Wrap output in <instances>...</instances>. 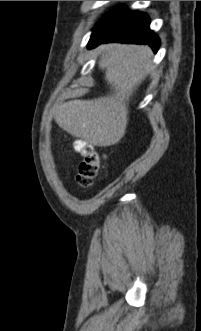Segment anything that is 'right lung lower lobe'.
<instances>
[{
	"mask_svg": "<svg viewBox=\"0 0 201 331\" xmlns=\"http://www.w3.org/2000/svg\"><path fill=\"white\" fill-rule=\"evenodd\" d=\"M149 25L145 13L129 11L125 7L115 8L95 25L88 48L106 42H122L148 44L156 53L160 40Z\"/></svg>",
	"mask_w": 201,
	"mask_h": 331,
	"instance_id": "98d812e1",
	"label": "right lung lower lobe"
}]
</instances>
